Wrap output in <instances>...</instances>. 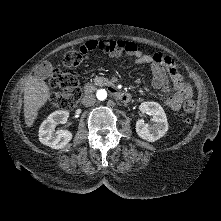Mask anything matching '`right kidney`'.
Returning a JSON list of instances; mask_svg holds the SVG:
<instances>
[{
	"mask_svg": "<svg viewBox=\"0 0 221 221\" xmlns=\"http://www.w3.org/2000/svg\"><path fill=\"white\" fill-rule=\"evenodd\" d=\"M69 118V112L59 110L51 113L44 120L39 128V140L42 144L53 149L63 148L72 139V133L68 130H58L55 132V126L58 123L64 124Z\"/></svg>",
	"mask_w": 221,
	"mask_h": 221,
	"instance_id": "1",
	"label": "right kidney"
}]
</instances>
